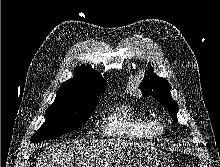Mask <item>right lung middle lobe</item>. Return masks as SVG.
<instances>
[{
	"mask_svg": "<svg viewBox=\"0 0 220 167\" xmlns=\"http://www.w3.org/2000/svg\"><path fill=\"white\" fill-rule=\"evenodd\" d=\"M98 103L97 97H75L55 100L46 111V120L33 135L34 143L57 137L82 126Z\"/></svg>",
	"mask_w": 220,
	"mask_h": 167,
	"instance_id": "right-lung-middle-lobe-1",
	"label": "right lung middle lobe"
}]
</instances>
